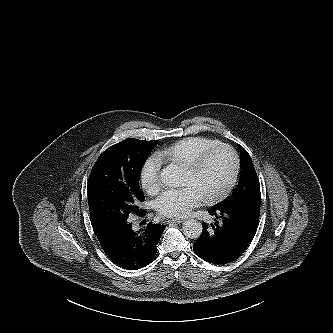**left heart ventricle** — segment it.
<instances>
[{"mask_svg":"<svg viewBox=\"0 0 333 333\" xmlns=\"http://www.w3.org/2000/svg\"><path fill=\"white\" fill-rule=\"evenodd\" d=\"M234 165L232 152L225 148L219 149L207 159L199 171L189 173L183 170L181 184L194 187L205 198L225 186L233 173Z\"/></svg>","mask_w":333,"mask_h":333,"instance_id":"left-heart-ventricle-1","label":"left heart ventricle"}]
</instances>
